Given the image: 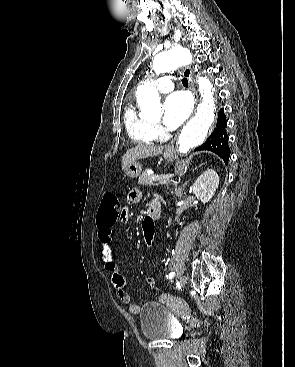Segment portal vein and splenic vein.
Returning a JSON list of instances; mask_svg holds the SVG:
<instances>
[{
  "label": "portal vein and splenic vein",
  "mask_w": 295,
  "mask_h": 367,
  "mask_svg": "<svg viewBox=\"0 0 295 367\" xmlns=\"http://www.w3.org/2000/svg\"><path fill=\"white\" fill-rule=\"evenodd\" d=\"M171 175H157V176H154L153 179L154 180H160V179H165L167 177H170Z\"/></svg>",
  "instance_id": "18ae733b"
}]
</instances>
